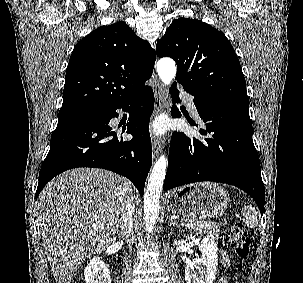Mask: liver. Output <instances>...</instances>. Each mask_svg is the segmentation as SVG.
<instances>
[{"mask_svg":"<svg viewBox=\"0 0 303 283\" xmlns=\"http://www.w3.org/2000/svg\"><path fill=\"white\" fill-rule=\"evenodd\" d=\"M123 178L76 168L50 181L38 198L42 241L56 283H71L84 260L110 246L124 211ZM135 199V191L131 188Z\"/></svg>","mask_w":303,"mask_h":283,"instance_id":"6515ba94","label":"liver"}]
</instances>
